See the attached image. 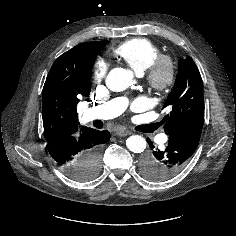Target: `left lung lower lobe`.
<instances>
[{
  "label": "left lung lower lobe",
  "instance_id": "0a47b994",
  "mask_svg": "<svg viewBox=\"0 0 236 236\" xmlns=\"http://www.w3.org/2000/svg\"><path fill=\"white\" fill-rule=\"evenodd\" d=\"M203 123L185 125L169 136V143L164 151L154 149V145L147 139L151 151L142 159V174L153 181H165L180 173L195 152Z\"/></svg>",
  "mask_w": 236,
  "mask_h": 236
}]
</instances>
